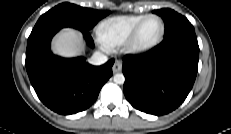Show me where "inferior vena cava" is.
Here are the masks:
<instances>
[{"label":"inferior vena cava","instance_id":"inferior-vena-cava-1","mask_svg":"<svg viewBox=\"0 0 231 134\" xmlns=\"http://www.w3.org/2000/svg\"><path fill=\"white\" fill-rule=\"evenodd\" d=\"M108 60L107 56L101 52H95L89 59V63L92 65H102Z\"/></svg>","mask_w":231,"mask_h":134}]
</instances>
